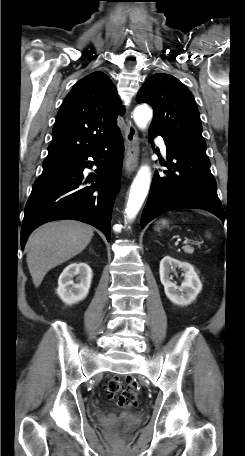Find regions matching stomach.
<instances>
[{
    "label": "stomach",
    "mask_w": 245,
    "mask_h": 456,
    "mask_svg": "<svg viewBox=\"0 0 245 456\" xmlns=\"http://www.w3.org/2000/svg\"><path fill=\"white\" fill-rule=\"evenodd\" d=\"M158 224H160V226H162V227H165L168 225V222L166 220H162ZM157 228H159V226Z\"/></svg>",
    "instance_id": "0dacf381"
}]
</instances>
